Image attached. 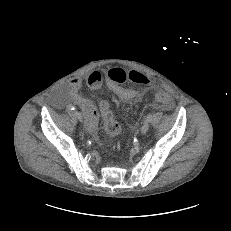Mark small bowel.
<instances>
[{"mask_svg":"<svg viewBox=\"0 0 231 231\" xmlns=\"http://www.w3.org/2000/svg\"><path fill=\"white\" fill-rule=\"evenodd\" d=\"M101 81L102 77L100 73L93 72L89 75L87 84L89 88L96 90L100 87ZM105 81L108 88L125 103L138 100L141 97V92L139 90L125 88L121 85H114L109 81L108 76L105 78ZM80 87L81 80L79 78H72L65 87L64 92L82 109L86 118L87 130L96 136L99 115L94 104L80 94Z\"/></svg>","mask_w":231,"mask_h":231,"instance_id":"obj_1","label":"small bowel"}]
</instances>
